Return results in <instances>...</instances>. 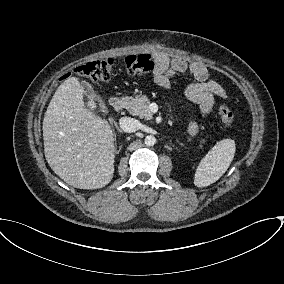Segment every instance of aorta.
I'll use <instances>...</instances> for the list:
<instances>
[{"instance_id":"1","label":"aorta","mask_w":284,"mask_h":284,"mask_svg":"<svg viewBox=\"0 0 284 284\" xmlns=\"http://www.w3.org/2000/svg\"><path fill=\"white\" fill-rule=\"evenodd\" d=\"M144 143L147 146H153L156 144V138L153 135H147L144 139Z\"/></svg>"}]
</instances>
